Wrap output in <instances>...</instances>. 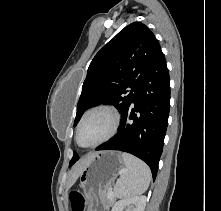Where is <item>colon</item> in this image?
I'll return each instance as SVG.
<instances>
[{"label": "colon", "instance_id": "5ec220e1", "mask_svg": "<svg viewBox=\"0 0 221 211\" xmlns=\"http://www.w3.org/2000/svg\"><path fill=\"white\" fill-rule=\"evenodd\" d=\"M70 201H71L72 211L86 210V201L80 192L78 191L71 192Z\"/></svg>", "mask_w": 221, "mask_h": 211}]
</instances>
